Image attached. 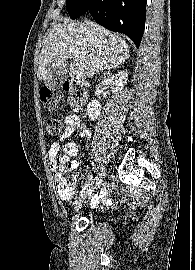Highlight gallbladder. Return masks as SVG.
I'll return each instance as SVG.
<instances>
[{"label":"gallbladder","instance_id":"1","mask_svg":"<svg viewBox=\"0 0 195 270\" xmlns=\"http://www.w3.org/2000/svg\"><path fill=\"white\" fill-rule=\"evenodd\" d=\"M68 67L69 66L67 63H63L60 67L53 71V73L44 80L45 86L52 91L61 88L62 84L68 78Z\"/></svg>","mask_w":195,"mask_h":270}]
</instances>
